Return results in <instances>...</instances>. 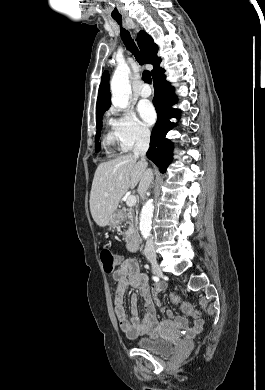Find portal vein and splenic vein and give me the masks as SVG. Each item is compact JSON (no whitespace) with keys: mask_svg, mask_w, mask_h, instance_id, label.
Here are the masks:
<instances>
[{"mask_svg":"<svg viewBox=\"0 0 265 390\" xmlns=\"http://www.w3.org/2000/svg\"><path fill=\"white\" fill-rule=\"evenodd\" d=\"M136 202H137L136 197L133 196V195H130V196L127 198V200H126V204H127V206H129V207L135 206V205H136Z\"/></svg>","mask_w":265,"mask_h":390,"instance_id":"portal-vein-and-splenic-vein-1","label":"portal vein and splenic vein"}]
</instances>
